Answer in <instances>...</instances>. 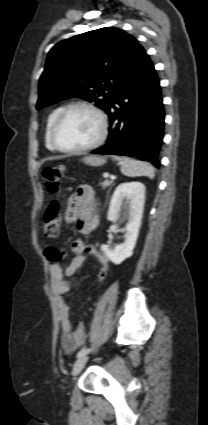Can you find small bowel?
<instances>
[{"instance_id": "1", "label": "small bowel", "mask_w": 208, "mask_h": 425, "mask_svg": "<svg viewBox=\"0 0 208 425\" xmlns=\"http://www.w3.org/2000/svg\"><path fill=\"white\" fill-rule=\"evenodd\" d=\"M65 221L75 223L80 233L84 235L92 234L98 224L95 214V197L92 188L88 185H80L68 201L65 212ZM71 251L75 257L64 269L60 262H52L50 273V289L55 297L58 318L61 326V342L66 353H71L82 345L86 339V333L82 326L73 329L69 319V307L64 299V295L70 290V278L76 273L87 258L96 259L102 266L108 267V257L98 251L95 246L86 244L83 239H76L72 242L69 250H64L67 254Z\"/></svg>"}]
</instances>
